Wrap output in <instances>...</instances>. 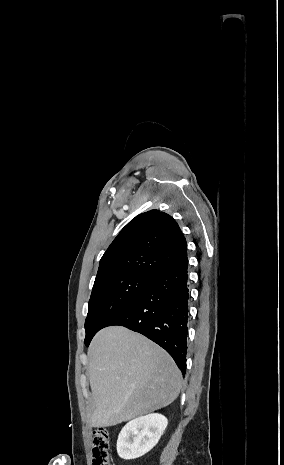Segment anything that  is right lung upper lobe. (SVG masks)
<instances>
[{
	"mask_svg": "<svg viewBox=\"0 0 284 465\" xmlns=\"http://www.w3.org/2000/svg\"><path fill=\"white\" fill-rule=\"evenodd\" d=\"M187 258V244L177 222L150 210L132 219L102 256L94 283L124 274L154 278Z\"/></svg>",
	"mask_w": 284,
	"mask_h": 465,
	"instance_id": "1",
	"label": "right lung upper lobe"
}]
</instances>
